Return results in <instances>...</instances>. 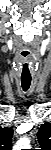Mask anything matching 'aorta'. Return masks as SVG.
<instances>
[{
	"label": "aorta",
	"mask_w": 51,
	"mask_h": 150,
	"mask_svg": "<svg viewBox=\"0 0 51 150\" xmlns=\"http://www.w3.org/2000/svg\"><path fill=\"white\" fill-rule=\"evenodd\" d=\"M30 147V138H20L14 146V150L28 149Z\"/></svg>",
	"instance_id": "aorta-1"
}]
</instances>
